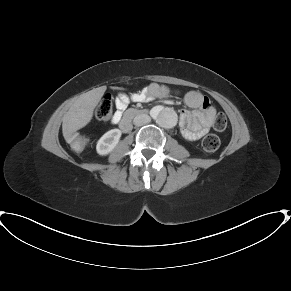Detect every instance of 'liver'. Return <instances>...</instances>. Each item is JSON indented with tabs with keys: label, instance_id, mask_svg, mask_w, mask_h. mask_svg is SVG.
Here are the masks:
<instances>
[{
	"label": "liver",
	"instance_id": "liver-1",
	"mask_svg": "<svg viewBox=\"0 0 291 291\" xmlns=\"http://www.w3.org/2000/svg\"><path fill=\"white\" fill-rule=\"evenodd\" d=\"M112 89L119 88L112 87ZM105 91L106 87L102 86L81 95L75 100L62 119V130L65 139L70 138L74 132L85 127L91 121L94 109Z\"/></svg>",
	"mask_w": 291,
	"mask_h": 291
}]
</instances>
